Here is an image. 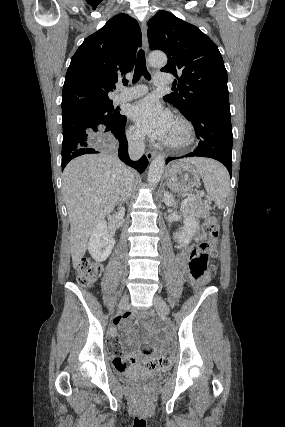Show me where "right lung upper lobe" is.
Returning a JSON list of instances; mask_svg holds the SVG:
<instances>
[{
    "mask_svg": "<svg viewBox=\"0 0 285 427\" xmlns=\"http://www.w3.org/2000/svg\"><path fill=\"white\" fill-rule=\"evenodd\" d=\"M141 30L127 14L111 18L73 55L62 92V116L112 100L108 93L134 66Z\"/></svg>",
    "mask_w": 285,
    "mask_h": 427,
    "instance_id": "obj_1",
    "label": "right lung upper lobe"
}]
</instances>
